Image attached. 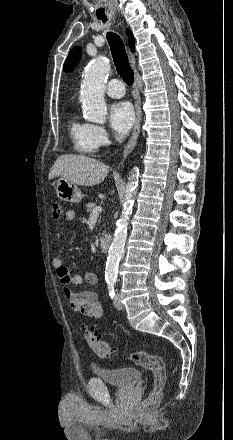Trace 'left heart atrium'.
<instances>
[{"instance_id": "39dd6f15", "label": "left heart atrium", "mask_w": 233, "mask_h": 440, "mask_svg": "<svg viewBox=\"0 0 233 440\" xmlns=\"http://www.w3.org/2000/svg\"><path fill=\"white\" fill-rule=\"evenodd\" d=\"M134 121L135 115L130 103L121 101L111 105L109 123L119 135H125L133 126Z\"/></svg>"}]
</instances>
